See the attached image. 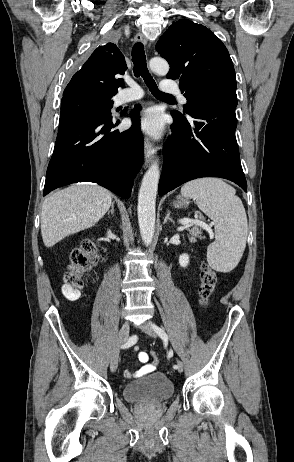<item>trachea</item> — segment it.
Segmentation results:
<instances>
[{
	"instance_id": "obj_1",
	"label": "trachea",
	"mask_w": 294,
	"mask_h": 462,
	"mask_svg": "<svg viewBox=\"0 0 294 462\" xmlns=\"http://www.w3.org/2000/svg\"><path fill=\"white\" fill-rule=\"evenodd\" d=\"M132 61L134 64V75L136 77L141 76L148 88L150 89L151 93L159 98H164V99H173V97L169 94H165L161 92L154 79L150 75L148 69H147V64H146V56H145V51H144V46L142 43H136L133 46L132 49Z\"/></svg>"
}]
</instances>
